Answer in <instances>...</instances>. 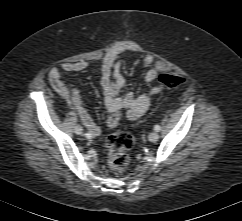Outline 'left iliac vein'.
Instances as JSON below:
<instances>
[{"instance_id": "4c4485c4", "label": "left iliac vein", "mask_w": 242, "mask_h": 221, "mask_svg": "<svg viewBox=\"0 0 242 221\" xmlns=\"http://www.w3.org/2000/svg\"><path fill=\"white\" fill-rule=\"evenodd\" d=\"M148 139L149 141L151 142H156L158 139H159V135L157 132H151L149 135H148Z\"/></svg>"}]
</instances>
